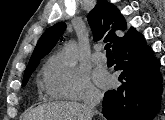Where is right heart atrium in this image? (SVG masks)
Here are the masks:
<instances>
[{
  "mask_svg": "<svg viewBox=\"0 0 165 120\" xmlns=\"http://www.w3.org/2000/svg\"><path fill=\"white\" fill-rule=\"evenodd\" d=\"M46 92L55 98L88 101L99 97V91L84 69L71 64L62 54L50 58L45 73Z\"/></svg>",
  "mask_w": 165,
  "mask_h": 120,
  "instance_id": "right-heart-atrium-1",
  "label": "right heart atrium"
}]
</instances>
